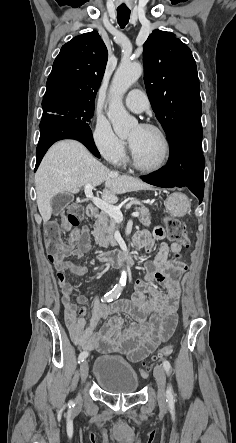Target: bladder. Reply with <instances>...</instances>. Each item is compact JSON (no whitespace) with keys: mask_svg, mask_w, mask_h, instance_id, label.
<instances>
[{"mask_svg":"<svg viewBox=\"0 0 236 443\" xmlns=\"http://www.w3.org/2000/svg\"><path fill=\"white\" fill-rule=\"evenodd\" d=\"M94 377L100 388L111 394H133L140 385L134 368L111 355L96 361Z\"/></svg>","mask_w":236,"mask_h":443,"instance_id":"bladder-1","label":"bladder"}]
</instances>
